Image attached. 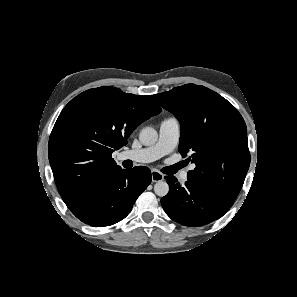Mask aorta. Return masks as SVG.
I'll list each match as a JSON object with an SVG mask.
<instances>
[{
    "label": "aorta",
    "mask_w": 297,
    "mask_h": 297,
    "mask_svg": "<svg viewBox=\"0 0 297 297\" xmlns=\"http://www.w3.org/2000/svg\"><path fill=\"white\" fill-rule=\"evenodd\" d=\"M157 131L152 127L143 128L139 133V140L145 146H151L157 141ZM154 192L159 197H164L169 192V185L164 180H159L154 185Z\"/></svg>",
    "instance_id": "762f6f07"
}]
</instances>
